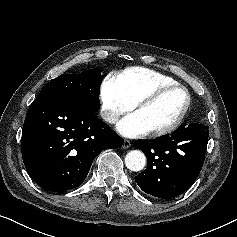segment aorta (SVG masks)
<instances>
[{
	"mask_svg": "<svg viewBox=\"0 0 237 237\" xmlns=\"http://www.w3.org/2000/svg\"><path fill=\"white\" fill-rule=\"evenodd\" d=\"M126 167L134 172L142 170L146 165L145 154L139 150H132L125 157Z\"/></svg>",
	"mask_w": 237,
	"mask_h": 237,
	"instance_id": "762f6f07",
	"label": "aorta"
}]
</instances>
